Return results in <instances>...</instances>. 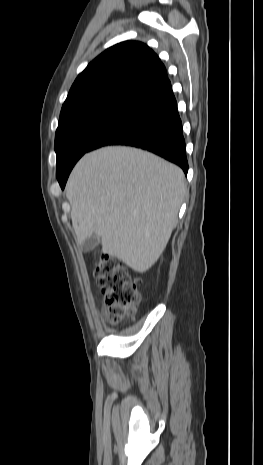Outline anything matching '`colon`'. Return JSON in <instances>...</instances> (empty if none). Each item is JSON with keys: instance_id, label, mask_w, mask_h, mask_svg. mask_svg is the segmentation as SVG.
Returning <instances> with one entry per match:
<instances>
[{"instance_id": "obj_1", "label": "colon", "mask_w": 263, "mask_h": 465, "mask_svg": "<svg viewBox=\"0 0 263 465\" xmlns=\"http://www.w3.org/2000/svg\"><path fill=\"white\" fill-rule=\"evenodd\" d=\"M94 274L105 296L110 323L116 324L137 312L140 302L137 282L131 279L120 261L103 256L96 263Z\"/></svg>"}]
</instances>
